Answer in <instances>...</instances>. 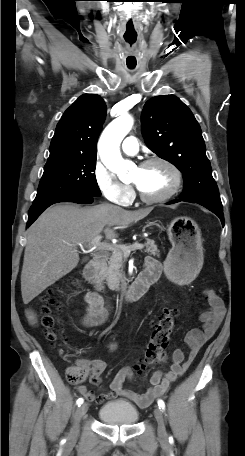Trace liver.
<instances>
[{
	"label": "liver",
	"instance_id": "1",
	"mask_svg": "<svg viewBox=\"0 0 245 456\" xmlns=\"http://www.w3.org/2000/svg\"><path fill=\"white\" fill-rule=\"evenodd\" d=\"M151 211L150 207L130 211L108 203L49 207L28 229L21 272L24 304L77 267L78 244H90L102 232L106 239H113L118 235L110 227H126Z\"/></svg>",
	"mask_w": 245,
	"mask_h": 456
}]
</instances>
